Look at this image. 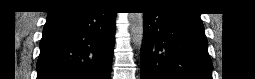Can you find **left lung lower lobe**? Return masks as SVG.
<instances>
[{
    "mask_svg": "<svg viewBox=\"0 0 255 79\" xmlns=\"http://www.w3.org/2000/svg\"><path fill=\"white\" fill-rule=\"evenodd\" d=\"M141 79H212L207 39L197 13L159 6L144 13Z\"/></svg>",
    "mask_w": 255,
    "mask_h": 79,
    "instance_id": "left-lung-lower-lobe-1",
    "label": "left lung lower lobe"
}]
</instances>
